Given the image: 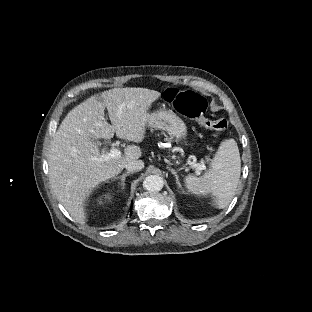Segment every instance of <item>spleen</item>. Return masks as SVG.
<instances>
[{
    "label": "spleen",
    "instance_id": "spleen-1",
    "mask_svg": "<svg viewBox=\"0 0 312 312\" xmlns=\"http://www.w3.org/2000/svg\"><path fill=\"white\" fill-rule=\"evenodd\" d=\"M239 177L240 156L237 145L234 140H224L204 175H189L184 179V185L189 194L199 198L211 196L212 206L223 209L231 201Z\"/></svg>",
    "mask_w": 312,
    "mask_h": 312
}]
</instances>
